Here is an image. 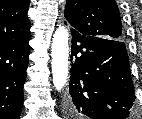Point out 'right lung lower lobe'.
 Returning a JSON list of instances; mask_svg holds the SVG:
<instances>
[{
    "mask_svg": "<svg viewBox=\"0 0 142 119\" xmlns=\"http://www.w3.org/2000/svg\"><path fill=\"white\" fill-rule=\"evenodd\" d=\"M30 34L0 45V119H19L23 104Z\"/></svg>",
    "mask_w": 142,
    "mask_h": 119,
    "instance_id": "98d812e1",
    "label": "right lung lower lobe"
}]
</instances>
